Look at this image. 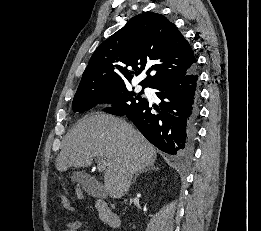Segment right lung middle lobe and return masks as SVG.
Here are the masks:
<instances>
[{"mask_svg":"<svg viewBox=\"0 0 261 231\" xmlns=\"http://www.w3.org/2000/svg\"><path fill=\"white\" fill-rule=\"evenodd\" d=\"M141 93L137 95L134 92H129L127 90V86H121L109 90L94 91L75 96L72 103V108L74 112L82 113L97 104L109 103L112 104V106L105 108L104 112L117 116H124L128 112L133 111L147 102L145 98L140 96Z\"/></svg>","mask_w":261,"mask_h":231,"instance_id":"dd1d6c3e","label":"right lung middle lobe"}]
</instances>
